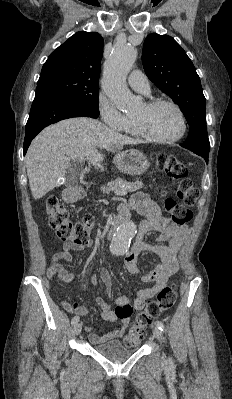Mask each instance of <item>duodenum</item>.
Masks as SVG:
<instances>
[{"label":"duodenum","instance_id":"duodenum-1","mask_svg":"<svg viewBox=\"0 0 232 399\" xmlns=\"http://www.w3.org/2000/svg\"><path fill=\"white\" fill-rule=\"evenodd\" d=\"M85 193H86V190H85L84 186L77 185V186L67 189L64 193V198L67 202H75V201L82 199L84 197ZM124 219H125L124 216H119L118 218H116L114 220V222L112 223V225L110 226V228L108 230V236H111L116 231V229L124 221Z\"/></svg>","mask_w":232,"mask_h":399}]
</instances>
